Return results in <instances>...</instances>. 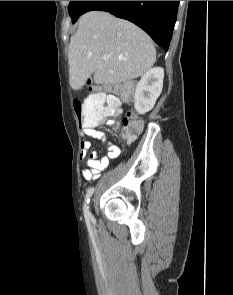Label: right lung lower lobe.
Masks as SVG:
<instances>
[{
	"label": "right lung lower lobe",
	"mask_w": 233,
	"mask_h": 295,
	"mask_svg": "<svg viewBox=\"0 0 233 295\" xmlns=\"http://www.w3.org/2000/svg\"><path fill=\"white\" fill-rule=\"evenodd\" d=\"M179 1H86L82 14L106 11L129 20L147 32L167 52Z\"/></svg>",
	"instance_id": "98d812e1"
}]
</instances>
